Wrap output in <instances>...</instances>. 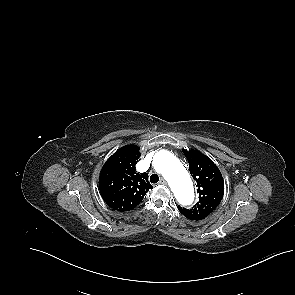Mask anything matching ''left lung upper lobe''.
I'll use <instances>...</instances> for the list:
<instances>
[{
	"label": "left lung upper lobe",
	"instance_id": "left-lung-upper-lobe-1",
	"mask_svg": "<svg viewBox=\"0 0 295 295\" xmlns=\"http://www.w3.org/2000/svg\"><path fill=\"white\" fill-rule=\"evenodd\" d=\"M192 177L196 181L199 202L191 209L178 206L180 212L204 219L220 204L224 194L222 174L214 162L197 150L183 149Z\"/></svg>",
	"mask_w": 295,
	"mask_h": 295
}]
</instances>
